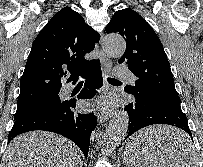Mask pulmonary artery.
<instances>
[{
	"mask_svg": "<svg viewBox=\"0 0 203 167\" xmlns=\"http://www.w3.org/2000/svg\"><path fill=\"white\" fill-rule=\"evenodd\" d=\"M115 75L120 78H125V79L129 80L130 82L136 81L135 75L126 67H117L115 69Z\"/></svg>",
	"mask_w": 203,
	"mask_h": 167,
	"instance_id": "pulmonary-artery-1",
	"label": "pulmonary artery"
}]
</instances>
